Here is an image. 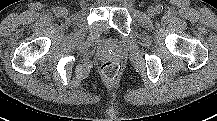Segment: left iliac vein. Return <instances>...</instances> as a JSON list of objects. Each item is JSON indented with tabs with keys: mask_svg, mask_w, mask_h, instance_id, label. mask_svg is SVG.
I'll return each mask as SVG.
<instances>
[{
	"mask_svg": "<svg viewBox=\"0 0 217 121\" xmlns=\"http://www.w3.org/2000/svg\"><path fill=\"white\" fill-rule=\"evenodd\" d=\"M147 12H148V15L152 17V16L155 15L156 9H155V7H153V6H150V7L148 8Z\"/></svg>",
	"mask_w": 217,
	"mask_h": 121,
	"instance_id": "1",
	"label": "left iliac vein"
}]
</instances>
